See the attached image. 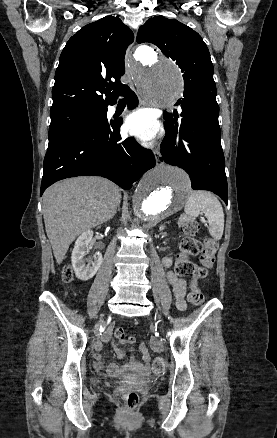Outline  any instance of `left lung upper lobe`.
<instances>
[{"instance_id": "obj_1", "label": "left lung upper lobe", "mask_w": 277, "mask_h": 438, "mask_svg": "<svg viewBox=\"0 0 277 438\" xmlns=\"http://www.w3.org/2000/svg\"><path fill=\"white\" fill-rule=\"evenodd\" d=\"M137 42L158 46L183 72L184 99L216 96L213 64L201 36L187 25L163 16H155L139 28ZM181 101L179 100V103ZM173 116L164 113V119Z\"/></svg>"}]
</instances>
